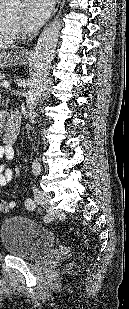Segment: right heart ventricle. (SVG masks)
Wrapping results in <instances>:
<instances>
[{
    "label": "right heart ventricle",
    "mask_w": 129,
    "mask_h": 309,
    "mask_svg": "<svg viewBox=\"0 0 129 309\" xmlns=\"http://www.w3.org/2000/svg\"><path fill=\"white\" fill-rule=\"evenodd\" d=\"M2 0H0L1 2ZM16 35L7 24L6 17L0 6V46L10 44L14 41Z\"/></svg>",
    "instance_id": "e07e8e85"
}]
</instances>
